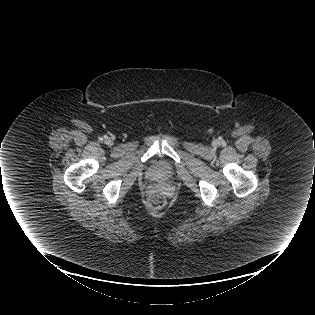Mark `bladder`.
Here are the masks:
<instances>
[{"label": "bladder", "instance_id": "bladder-1", "mask_svg": "<svg viewBox=\"0 0 315 315\" xmlns=\"http://www.w3.org/2000/svg\"><path fill=\"white\" fill-rule=\"evenodd\" d=\"M150 175L154 178L164 179L171 175V170L167 165L163 163H157L152 167Z\"/></svg>", "mask_w": 315, "mask_h": 315}]
</instances>
